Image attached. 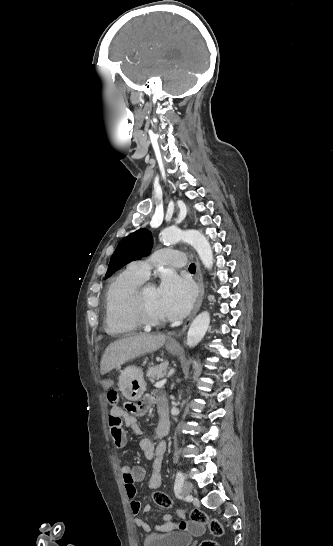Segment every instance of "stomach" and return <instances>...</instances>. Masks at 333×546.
Masks as SVG:
<instances>
[{"label":"stomach","instance_id":"0dacf381","mask_svg":"<svg viewBox=\"0 0 333 546\" xmlns=\"http://www.w3.org/2000/svg\"><path fill=\"white\" fill-rule=\"evenodd\" d=\"M166 349L169 353L174 355L178 352L179 346L167 343ZM118 385L119 390L127 400H140L146 389L142 370L136 366L126 367L120 373Z\"/></svg>","mask_w":333,"mask_h":546}]
</instances>
